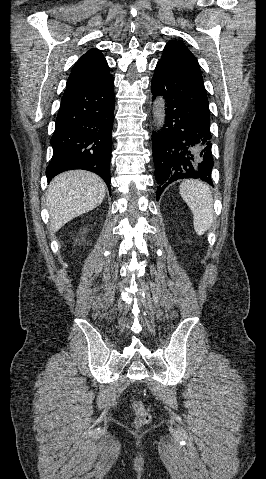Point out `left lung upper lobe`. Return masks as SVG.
<instances>
[{
  "label": "left lung upper lobe",
  "instance_id": "5c2ea615",
  "mask_svg": "<svg viewBox=\"0 0 266 479\" xmlns=\"http://www.w3.org/2000/svg\"><path fill=\"white\" fill-rule=\"evenodd\" d=\"M159 62L184 77L204 85L198 61L182 41L171 40L168 42Z\"/></svg>",
  "mask_w": 266,
  "mask_h": 479
}]
</instances>
